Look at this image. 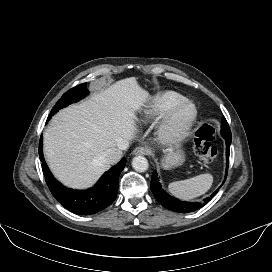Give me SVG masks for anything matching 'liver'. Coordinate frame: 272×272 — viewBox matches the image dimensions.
Here are the masks:
<instances>
[{
	"instance_id": "1",
	"label": "liver",
	"mask_w": 272,
	"mask_h": 272,
	"mask_svg": "<svg viewBox=\"0 0 272 272\" xmlns=\"http://www.w3.org/2000/svg\"><path fill=\"white\" fill-rule=\"evenodd\" d=\"M148 99L130 77L55 115L44 132V153L55 177L73 188L93 185L111 166L103 153L135 137L136 111Z\"/></svg>"
}]
</instances>
